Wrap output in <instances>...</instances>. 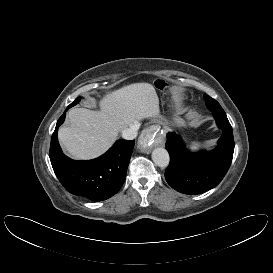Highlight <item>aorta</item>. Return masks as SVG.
<instances>
[{"label": "aorta", "instance_id": "aorta-1", "mask_svg": "<svg viewBox=\"0 0 273 273\" xmlns=\"http://www.w3.org/2000/svg\"><path fill=\"white\" fill-rule=\"evenodd\" d=\"M152 160L159 167H167L170 161L169 154L165 148L158 147L152 152Z\"/></svg>", "mask_w": 273, "mask_h": 273}]
</instances>
